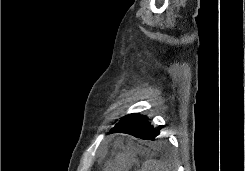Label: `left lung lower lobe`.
<instances>
[{
	"label": "left lung lower lobe",
	"instance_id": "1",
	"mask_svg": "<svg viewBox=\"0 0 245 171\" xmlns=\"http://www.w3.org/2000/svg\"><path fill=\"white\" fill-rule=\"evenodd\" d=\"M160 126L153 127L147 116L138 113L123 117L109 133H126L144 140H155L160 134Z\"/></svg>",
	"mask_w": 245,
	"mask_h": 171
}]
</instances>
